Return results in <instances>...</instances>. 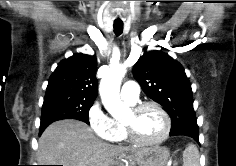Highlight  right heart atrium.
<instances>
[{"instance_id":"d8ad5b80","label":"right heart atrium","mask_w":236,"mask_h":166,"mask_svg":"<svg viewBox=\"0 0 236 166\" xmlns=\"http://www.w3.org/2000/svg\"><path fill=\"white\" fill-rule=\"evenodd\" d=\"M88 124L94 134L103 140L113 141L115 128L113 119L104 111L99 101H95L87 112Z\"/></svg>"}]
</instances>
